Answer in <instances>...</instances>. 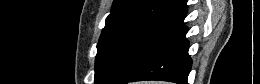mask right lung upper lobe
<instances>
[{"instance_id":"right-lung-upper-lobe-1","label":"right lung upper lobe","mask_w":260,"mask_h":84,"mask_svg":"<svg viewBox=\"0 0 260 84\" xmlns=\"http://www.w3.org/2000/svg\"><path fill=\"white\" fill-rule=\"evenodd\" d=\"M186 0H115L101 38L134 25L180 28L187 12Z\"/></svg>"}]
</instances>
